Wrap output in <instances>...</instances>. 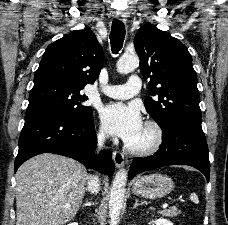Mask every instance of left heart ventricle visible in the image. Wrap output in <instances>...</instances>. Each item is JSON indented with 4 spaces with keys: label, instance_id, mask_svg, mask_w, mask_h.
Here are the masks:
<instances>
[{
    "label": "left heart ventricle",
    "instance_id": "obj_1",
    "mask_svg": "<svg viewBox=\"0 0 228 225\" xmlns=\"http://www.w3.org/2000/svg\"><path fill=\"white\" fill-rule=\"evenodd\" d=\"M151 142V136L150 134L143 129L142 133L140 136L131 144L136 145V146H146Z\"/></svg>",
    "mask_w": 228,
    "mask_h": 225
}]
</instances>
